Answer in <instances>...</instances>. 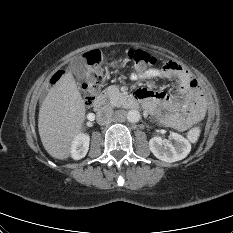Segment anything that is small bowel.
Segmentation results:
<instances>
[{
    "instance_id": "obj_1",
    "label": "small bowel",
    "mask_w": 233,
    "mask_h": 233,
    "mask_svg": "<svg viewBox=\"0 0 233 233\" xmlns=\"http://www.w3.org/2000/svg\"><path fill=\"white\" fill-rule=\"evenodd\" d=\"M133 78L178 80L179 87L173 96L146 88L136 91L137 98L143 101L146 108L157 115L165 126L185 131L204 116L206 103L200 86L179 63L170 60L159 69L138 70Z\"/></svg>"
}]
</instances>
